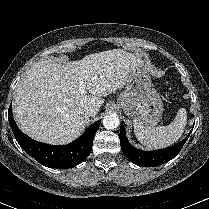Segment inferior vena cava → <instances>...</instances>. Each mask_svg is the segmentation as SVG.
Masks as SVG:
<instances>
[{
	"label": "inferior vena cava",
	"mask_w": 209,
	"mask_h": 209,
	"mask_svg": "<svg viewBox=\"0 0 209 209\" xmlns=\"http://www.w3.org/2000/svg\"><path fill=\"white\" fill-rule=\"evenodd\" d=\"M98 109L96 108V107H93V106H87V107H85V110H84V112H85V115H87V116H95L97 113H98Z\"/></svg>",
	"instance_id": "602c4592"
}]
</instances>
